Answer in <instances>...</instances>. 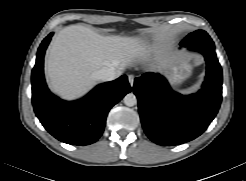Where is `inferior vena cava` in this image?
I'll list each match as a JSON object with an SVG mask.
<instances>
[{"label": "inferior vena cava", "mask_w": 246, "mask_h": 181, "mask_svg": "<svg viewBox=\"0 0 246 181\" xmlns=\"http://www.w3.org/2000/svg\"><path fill=\"white\" fill-rule=\"evenodd\" d=\"M118 76L114 67H102L100 70L94 72V77L101 81H111Z\"/></svg>", "instance_id": "obj_1"}]
</instances>
